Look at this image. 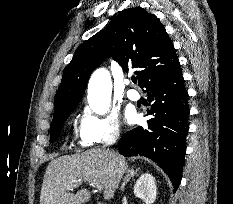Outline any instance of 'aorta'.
<instances>
[{"mask_svg":"<svg viewBox=\"0 0 233 204\" xmlns=\"http://www.w3.org/2000/svg\"><path fill=\"white\" fill-rule=\"evenodd\" d=\"M112 81L110 73L99 68L93 72L88 84V104L93 112L99 115L105 114L111 102Z\"/></svg>","mask_w":233,"mask_h":204,"instance_id":"762f6f07","label":"aorta"}]
</instances>
